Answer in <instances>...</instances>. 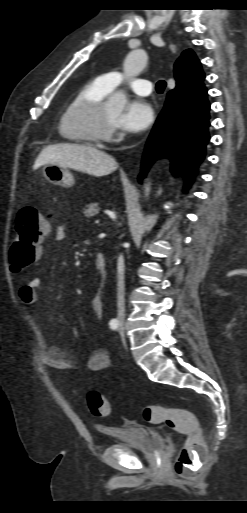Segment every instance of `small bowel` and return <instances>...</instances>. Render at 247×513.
<instances>
[{
    "mask_svg": "<svg viewBox=\"0 0 247 513\" xmlns=\"http://www.w3.org/2000/svg\"><path fill=\"white\" fill-rule=\"evenodd\" d=\"M65 238L64 226H57L53 230V239L55 242L60 243ZM41 279L34 277L30 279L25 285L21 286L18 291L20 301L27 305L32 306L38 301V291L41 288ZM91 307L98 318H102L104 314L103 302L98 295H94L91 299ZM42 363L51 369L56 370H69L74 369L75 363L71 360L68 352L60 348L46 344L44 351L41 355ZM110 365V356L104 349L94 350L89 354L86 360V368L91 372H98L105 370Z\"/></svg>",
    "mask_w": 247,
    "mask_h": 513,
    "instance_id": "c3829d8e",
    "label": "small bowel"
}]
</instances>
